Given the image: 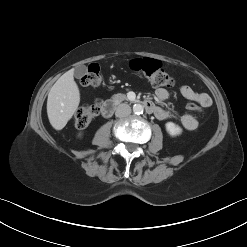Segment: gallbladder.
I'll use <instances>...</instances> for the list:
<instances>
[{"label":"gallbladder","instance_id":"1","mask_svg":"<svg viewBox=\"0 0 247 247\" xmlns=\"http://www.w3.org/2000/svg\"><path fill=\"white\" fill-rule=\"evenodd\" d=\"M86 73V67L84 65L77 66L74 70V75L76 77H82Z\"/></svg>","mask_w":247,"mask_h":247}]
</instances>
